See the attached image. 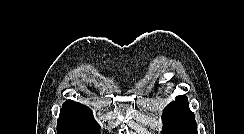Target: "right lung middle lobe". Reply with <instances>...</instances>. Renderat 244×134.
Returning a JSON list of instances; mask_svg holds the SVG:
<instances>
[{"instance_id":"obj_1","label":"right lung middle lobe","mask_w":244,"mask_h":134,"mask_svg":"<svg viewBox=\"0 0 244 134\" xmlns=\"http://www.w3.org/2000/svg\"><path fill=\"white\" fill-rule=\"evenodd\" d=\"M100 125L95 120L58 119L57 134H99Z\"/></svg>"}]
</instances>
